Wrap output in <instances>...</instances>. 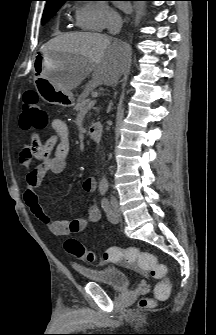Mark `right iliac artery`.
I'll use <instances>...</instances> for the list:
<instances>
[{"mask_svg":"<svg viewBox=\"0 0 216 335\" xmlns=\"http://www.w3.org/2000/svg\"><path fill=\"white\" fill-rule=\"evenodd\" d=\"M99 191H100L101 195H104L106 193V191H107V185L106 184H101L99 186Z\"/></svg>","mask_w":216,"mask_h":335,"instance_id":"right-iliac-artery-1","label":"right iliac artery"}]
</instances>
